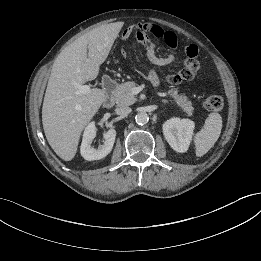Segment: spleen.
<instances>
[{
  "instance_id": "3e777b00",
  "label": "spleen",
  "mask_w": 261,
  "mask_h": 261,
  "mask_svg": "<svg viewBox=\"0 0 261 261\" xmlns=\"http://www.w3.org/2000/svg\"><path fill=\"white\" fill-rule=\"evenodd\" d=\"M222 129V117L218 113H210L204 127L194 137L197 157L204 156L218 140Z\"/></svg>"
}]
</instances>
